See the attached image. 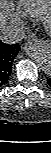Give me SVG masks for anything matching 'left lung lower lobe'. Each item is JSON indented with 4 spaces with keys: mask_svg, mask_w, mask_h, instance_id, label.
I'll return each instance as SVG.
<instances>
[{
    "mask_svg": "<svg viewBox=\"0 0 51 153\" xmlns=\"http://www.w3.org/2000/svg\"><path fill=\"white\" fill-rule=\"evenodd\" d=\"M48 84L51 86V78L47 80Z\"/></svg>",
    "mask_w": 51,
    "mask_h": 153,
    "instance_id": "left-lung-lower-lobe-1",
    "label": "left lung lower lobe"
}]
</instances>
